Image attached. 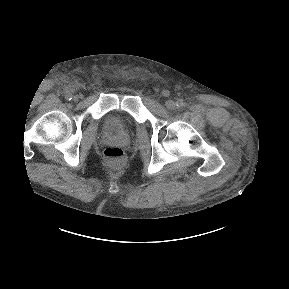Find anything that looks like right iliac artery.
<instances>
[{"instance_id": "right-iliac-artery-1", "label": "right iliac artery", "mask_w": 289, "mask_h": 289, "mask_svg": "<svg viewBox=\"0 0 289 289\" xmlns=\"http://www.w3.org/2000/svg\"><path fill=\"white\" fill-rule=\"evenodd\" d=\"M65 98L67 100H71L72 99V94L71 93H66Z\"/></svg>"}]
</instances>
